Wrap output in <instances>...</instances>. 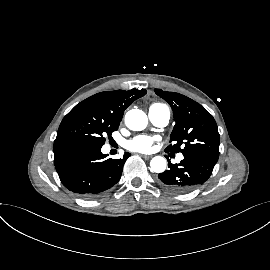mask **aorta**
<instances>
[{
	"instance_id": "aorta-1",
	"label": "aorta",
	"mask_w": 270,
	"mask_h": 270,
	"mask_svg": "<svg viewBox=\"0 0 270 270\" xmlns=\"http://www.w3.org/2000/svg\"><path fill=\"white\" fill-rule=\"evenodd\" d=\"M147 123V115L142 110L132 109L125 115V124L130 130L141 131L146 128ZM150 167L153 172H164L167 167L166 159L161 156H155L150 162Z\"/></svg>"
}]
</instances>
